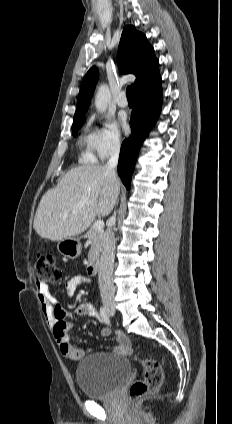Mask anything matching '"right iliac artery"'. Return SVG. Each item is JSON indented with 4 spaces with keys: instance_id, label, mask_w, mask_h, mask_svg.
Wrapping results in <instances>:
<instances>
[{
    "instance_id": "1",
    "label": "right iliac artery",
    "mask_w": 232,
    "mask_h": 424,
    "mask_svg": "<svg viewBox=\"0 0 232 424\" xmlns=\"http://www.w3.org/2000/svg\"><path fill=\"white\" fill-rule=\"evenodd\" d=\"M100 316L105 324L110 325V318L104 307L100 308Z\"/></svg>"
}]
</instances>
